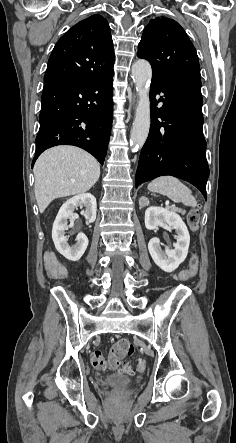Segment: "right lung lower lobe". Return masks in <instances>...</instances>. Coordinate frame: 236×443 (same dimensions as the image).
<instances>
[{"instance_id": "obj_1", "label": "right lung lower lobe", "mask_w": 236, "mask_h": 443, "mask_svg": "<svg viewBox=\"0 0 236 443\" xmlns=\"http://www.w3.org/2000/svg\"><path fill=\"white\" fill-rule=\"evenodd\" d=\"M112 81L113 71L44 84L32 167L44 150L57 145L85 149L103 165L112 126Z\"/></svg>"}]
</instances>
